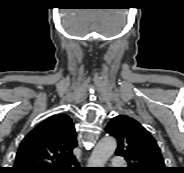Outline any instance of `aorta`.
<instances>
[{
  "mask_svg": "<svg viewBox=\"0 0 184 173\" xmlns=\"http://www.w3.org/2000/svg\"><path fill=\"white\" fill-rule=\"evenodd\" d=\"M117 147L116 139L112 136L102 138L95 146L89 160V167H104Z\"/></svg>",
  "mask_w": 184,
  "mask_h": 173,
  "instance_id": "obj_1",
  "label": "aorta"
}]
</instances>
